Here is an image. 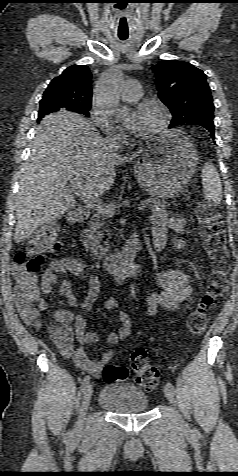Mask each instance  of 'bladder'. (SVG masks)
<instances>
[{"label":"bladder","instance_id":"bladder-1","mask_svg":"<svg viewBox=\"0 0 238 476\" xmlns=\"http://www.w3.org/2000/svg\"><path fill=\"white\" fill-rule=\"evenodd\" d=\"M98 404L115 414H134L148 409L149 398L139 386L110 382L101 389Z\"/></svg>","mask_w":238,"mask_h":476}]
</instances>
